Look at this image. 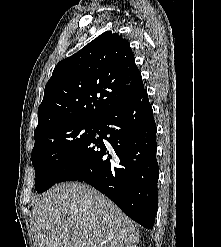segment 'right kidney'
Here are the masks:
<instances>
[{
  "label": "right kidney",
  "mask_w": 221,
  "mask_h": 247,
  "mask_svg": "<svg viewBox=\"0 0 221 247\" xmlns=\"http://www.w3.org/2000/svg\"><path fill=\"white\" fill-rule=\"evenodd\" d=\"M126 247H137L136 245H130V246H126Z\"/></svg>",
  "instance_id": "obj_1"
}]
</instances>
